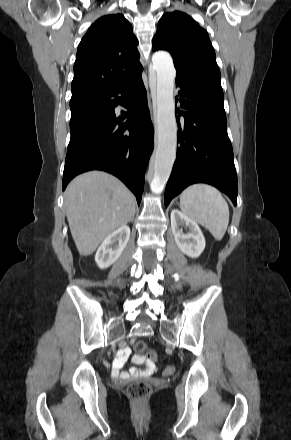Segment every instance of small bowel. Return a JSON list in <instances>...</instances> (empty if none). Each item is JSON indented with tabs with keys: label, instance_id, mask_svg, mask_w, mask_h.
Listing matches in <instances>:
<instances>
[{
	"label": "small bowel",
	"instance_id": "small-bowel-1",
	"mask_svg": "<svg viewBox=\"0 0 291 440\" xmlns=\"http://www.w3.org/2000/svg\"><path fill=\"white\" fill-rule=\"evenodd\" d=\"M130 348L124 347L120 350L118 357L113 362V374L117 378L126 379L130 376L135 377H150L153 376L157 372V366L149 361L144 360L143 358L135 360L133 357V361L136 364H144L143 368L137 369V368H130L128 372L122 371V368L124 367L129 355H130Z\"/></svg>",
	"mask_w": 291,
	"mask_h": 440
}]
</instances>
